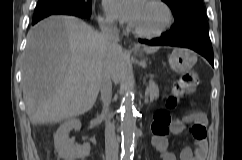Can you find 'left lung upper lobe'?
<instances>
[{
  "label": "left lung upper lobe",
  "instance_id": "obj_1",
  "mask_svg": "<svg viewBox=\"0 0 242 160\" xmlns=\"http://www.w3.org/2000/svg\"><path fill=\"white\" fill-rule=\"evenodd\" d=\"M171 8L175 23L169 32L182 35L193 29H207L208 22L202 0H162Z\"/></svg>",
  "mask_w": 242,
  "mask_h": 160
}]
</instances>
